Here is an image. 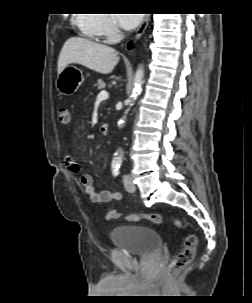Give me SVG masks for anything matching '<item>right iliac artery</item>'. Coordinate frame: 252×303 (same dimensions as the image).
Segmentation results:
<instances>
[{
  "label": "right iliac artery",
  "mask_w": 252,
  "mask_h": 303,
  "mask_svg": "<svg viewBox=\"0 0 252 303\" xmlns=\"http://www.w3.org/2000/svg\"><path fill=\"white\" fill-rule=\"evenodd\" d=\"M112 173L114 176H117L119 174V166L118 165H112Z\"/></svg>",
  "instance_id": "obj_1"
}]
</instances>
